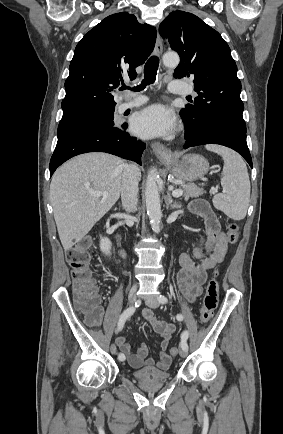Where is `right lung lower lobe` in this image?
Segmentation results:
<instances>
[{"mask_svg":"<svg viewBox=\"0 0 283 434\" xmlns=\"http://www.w3.org/2000/svg\"><path fill=\"white\" fill-rule=\"evenodd\" d=\"M127 124L120 126H93L69 133L58 139L50 160V176L62 163L73 156L87 152H106L141 165L145 144L126 132Z\"/></svg>","mask_w":283,"mask_h":434,"instance_id":"1","label":"right lung lower lobe"}]
</instances>
